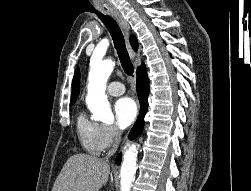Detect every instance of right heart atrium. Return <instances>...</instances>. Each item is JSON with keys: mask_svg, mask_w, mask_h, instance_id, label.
Instances as JSON below:
<instances>
[{"mask_svg": "<svg viewBox=\"0 0 251 191\" xmlns=\"http://www.w3.org/2000/svg\"><path fill=\"white\" fill-rule=\"evenodd\" d=\"M119 139L116 129L110 124H99L98 140L101 149H107Z\"/></svg>", "mask_w": 251, "mask_h": 191, "instance_id": "1", "label": "right heart atrium"}]
</instances>
